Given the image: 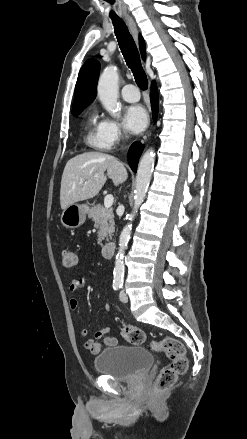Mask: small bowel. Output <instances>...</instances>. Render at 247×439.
Segmentation results:
<instances>
[{"mask_svg": "<svg viewBox=\"0 0 247 439\" xmlns=\"http://www.w3.org/2000/svg\"><path fill=\"white\" fill-rule=\"evenodd\" d=\"M85 283H86V281H85L84 278H75V279H73V280L71 281V284H70V287H69V290H70L71 294H74V293H76V292H79L81 289H83L84 286H85ZM69 305H70V308H71L72 310H76V309L78 308V300H77L76 298L72 297V298L70 299V301H69ZM104 310H105L106 312H109V311H110V306H109L108 304H106V305L104 306ZM110 330H111V329H110L109 326L104 327V328L98 330V331L95 333V338H96V339H101V338H103V340H102V341H96V340H94V339H87V340L84 342V347H85L87 350H89L91 353H93V354H97V353H99V352L103 349V347H105V346H114V345H116L117 342H118V341H117V338H115V337H113V336H107V334L110 332ZM87 334H88L87 329L82 328V329L80 330V336H81V337L85 338V337L87 336Z\"/></svg>", "mask_w": 247, "mask_h": 439, "instance_id": "obj_1", "label": "small bowel"}]
</instances>
